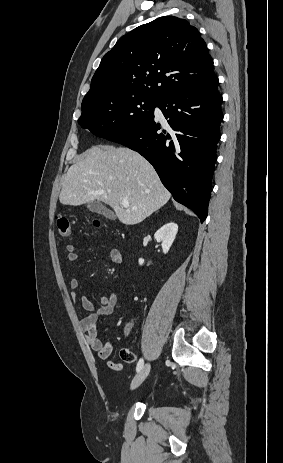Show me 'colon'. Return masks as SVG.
<instances>
[{
    "label": "colon",
    "mask_w": 283,
    "mask_h": 463,
    "mask_svg": "<svg viewBox=\"0 0 283 463\" xmlns=\"http://www.w3.org/2000/svg\"><path fill=\"white\" fill-rule=\"evenodd\" d=\"M93 224L95 226H98L99 222L94 221ZM57 227H58V232H59L60 236H62V237H69L71 235V233H72L71 222L66 217H62V218L58 219ZM121 357L126 362H133L135 360L134 352H132L131 350H129L127 348H123L121 350Z\"/></svg>",
    "instance_id": "5ec220e1"
}]
</instances>
